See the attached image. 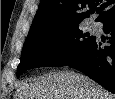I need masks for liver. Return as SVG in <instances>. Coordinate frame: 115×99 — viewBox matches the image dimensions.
I'll return each mask as SVG.
<instances>
[{
    "label": "liver",
    "mask_w": 115,
    "mask_h": 99,
    "mask_svg": "<svg viewBox=\"0 0 115 99\" xmlns=\"http://www.w3.org/2000/svg\"><path fill=\"white\" fill-rule=\"evenodd\" d=\"M14 99H115V95L86 76L57 72L33 82H23Z\"/></svg>",
    "instance_id": "1"
}]
</instances>
